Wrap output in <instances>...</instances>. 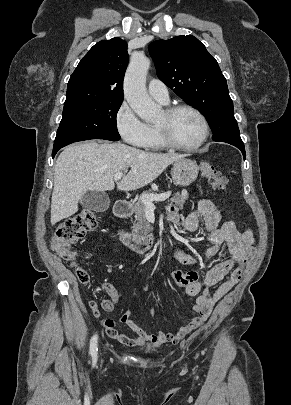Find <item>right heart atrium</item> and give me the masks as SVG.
Listing matches in <instances>:
<instances>
[{"mask_svg":"<svg viewBox=\"0 0 291 405\" xmlns=\"http://www.w3.org/2000/svg\"><path fill=\"white\" fill-rule=\"evenodd\" d=\"M115 125L122 139L129 145L145 147L150 137V126L143 122L127 102L121 103L115 114Z\"/></svg>","mask_w":291,"mask_h":405,"instance_id":"d8ad5b80","label":"right heart atrium"}]
</instances>
